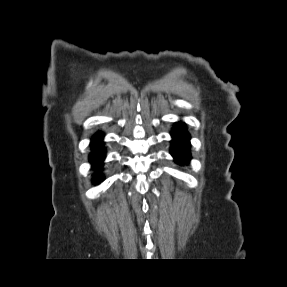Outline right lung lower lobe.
I'll list each match as a JSON object with an SVG mask.
<instances>
[{
	"mask_svg": "<svg viewBox=\"0 0 287 287\" xmlns=\"http://www.w3.org/2000/svg\"><path fill=\"white\" fill-rule=\"evenodd\" d=\"M103 133H96L92 137L91 147L92 152L89 156L90 162L92 164L93 170L96 171V174L93 176L94 183L98 184L103 180V175L99 172L102 167V163L105 159V148L103 143Z\"/></svg>",
	"mask_w": 287,
	"mask_h": 287,
	"instance_id": "98d812e1",
	"label": "right lung lower lobe"
}]
</instances>
